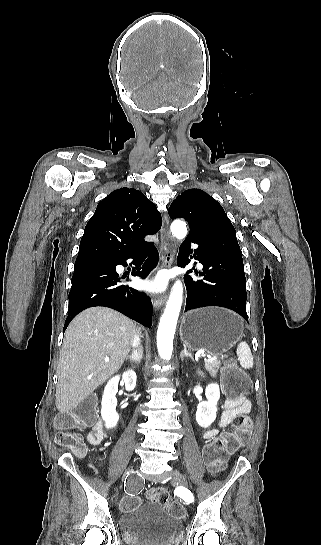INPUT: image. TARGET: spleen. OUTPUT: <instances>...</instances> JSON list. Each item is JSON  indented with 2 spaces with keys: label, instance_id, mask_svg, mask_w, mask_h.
Listing matches in <instances>:
<instances>
[{
  "label": "spleen",
  "instance_id": "1",
  "mask_svg": "<svg viewBox=\"0 0 321 545\" xmlns=\"http://www.w3.org/2000/svg\"><path fill=\"white\" fill-rule=\"evenodd\" d=\"M237 357L242 369H251L253 367V357L249 345L241 341L237 347Z\"/></svg>",
  "mask_w": 321,
  "mask_h": 545
}]
</instances>
